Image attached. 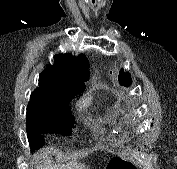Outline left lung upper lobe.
I'll list each match as a JSON object with an SVG mask.
<instances>
[{
	"mask_svg": "<svg viewBox=\"0 0 177 169\" xmlns=\"http://www.w3.org/2000/svg\"><path fill=\"white\" fill-rule=\"evenodd\" d=\"M119 78H120V83L123 84V85H126L128 86L130 84V80H128L126 78V74H119Z\"/></svg>",
	"mask_w": 177,
	"mask_h": 169,
	"instance_id": "left-lung-upper-lobe-1",
	"label": "left lung upper lobe"
}]
</instances>
